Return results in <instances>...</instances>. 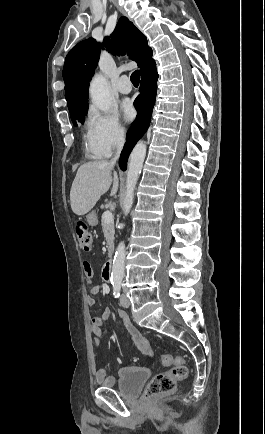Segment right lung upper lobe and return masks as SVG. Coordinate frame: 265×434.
Listing matches in <instances>:
<instances>
[{
	"label": "right lung upper lobe",
	"mask_w": 265,
	"mask_h": 434,
	"mask_svg": "<svg viewBox=\"0 0 265 434\" xmlns=\"http://www.w3.org/2000/svg\"><path fill=\"white\" fill-rule=\"evenodd\" d=\"M101 47H108V51L114 55L125 54L126 51L139 67L152 57L146 37L128 18L121 17L111 39L105 38L102 45L92 38L81 41L66 56L63 79L67 105L88 99L89 82L97 66Z\"/></svg>",
	"instance_id": "cb5924a9"
}]
</instances>
